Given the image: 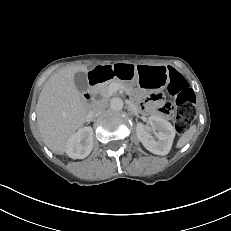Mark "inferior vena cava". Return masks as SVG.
Segmentation results:
<instances>
[{
	"label": "inferior vena cava",
	"instance_id": "obj_1",
	"mask_svg": "<svg viewBox=\"0 0 231 231\" xmlns=\"http://www.w3.org/2000/svg\"><path fill=\"white\" fill-rule=\"evenodd\" d=\"M106 108V103L105 102H103V101H98L95 105H94V107H93V109H92V111H91V114L92 115H98V114H100L104 109Z\"/></svg>",
	"mask_w": 231,
	"mask_h": 231
}]
</instances>
